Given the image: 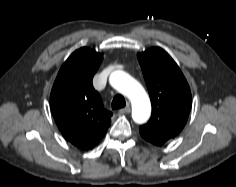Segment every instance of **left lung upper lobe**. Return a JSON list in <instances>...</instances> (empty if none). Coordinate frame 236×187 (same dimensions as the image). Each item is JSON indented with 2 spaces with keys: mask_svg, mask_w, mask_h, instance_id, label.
Instances as JSON below:
<instances>
[{
  "mask_svg": "<svg viewBox=\"0 0 236 187\" xmlns=\"http://www.w3.org/2000/svg\"><path fill=\"white\" fill-rule=\"evenodd\" d=\"M148 87L152 115L139 127L140 135L156 146L174 138L185 126L192 96L189 85L175 61L159 47L138 54Z\"/></svg>",
  "mask_w": 236,
  "mask_h": 187,
  "instance_id": "left-lung-upper-lobe-1",
  "label": "left lung upper lobe"
}]
</instances>
